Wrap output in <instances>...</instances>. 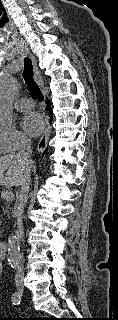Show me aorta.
I'll return each mask as SVG.
<instances>
[{
	"instance_id": "aorta-1",
	"label": "aorta",
	"mask_w": 118,
	"mask_h": 320,
	"mask_svg": "<svg viewBox=\"0 0 118 320\" xmlns=\"http://www.w3.org/2000/svg\"><path fill=\"white\" fill-rule=\"evenodd\" d=\"M18 89V82L13 76L0 78V125L8 127L13 122L12 104ZM21 257L20 241L16 235L8 237V263L16 268Z\"/></svg>"
}]
</instances>
